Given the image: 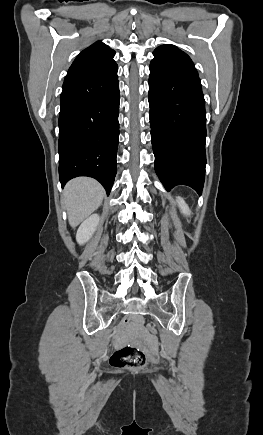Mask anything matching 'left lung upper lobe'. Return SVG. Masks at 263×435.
<instances>
[{"label":"left lung upper lobe","instance_id":"5c2ea615","mask_svg":"<svg viewBox=\"0 0 263 435\" xmlns=\"http://www.w3.org/2000/svg\"><path fill=\"white\" fill-rule=\"evenodd\" d=\"M154 59L166 67L198 76L197 70L190 57L174 45L166 44L157 47Z\"/></svg>","mask_w":263,"mask_h":435}]
</instances>
